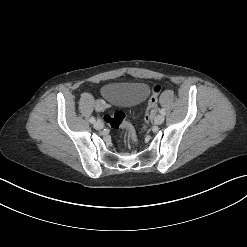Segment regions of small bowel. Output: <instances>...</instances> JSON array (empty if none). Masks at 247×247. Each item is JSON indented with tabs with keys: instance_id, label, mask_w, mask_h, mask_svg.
<instances>
[{
	"instance_id": "obj_1",
	"label": "small bowel",
	"mask_w": 247,
	"mask_h": 247,
	"mask_svg": "<svg viewBox=\"0 0 247 247\" xmlns=\"http://www.w3.org/2000/svg\"><path fill=\"white\" fill-rule=\"evenodd\" d=\"M104 105L102 104V103H97V105H96V108L98 109V110H103L104 109Z\"/></svg>"
}]
</instances>
